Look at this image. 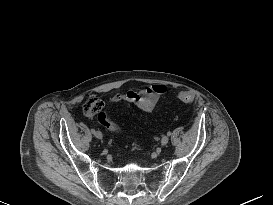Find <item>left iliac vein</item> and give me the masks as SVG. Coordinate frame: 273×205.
I'll list each match as a JSON object with an SVG mask.
<instances>
[{
  "label": "left iliac vein",
  "mask_w": 273,
  "mask_h": 205,
  "mask_svg": "<svg viewBox=\"0 0 273 205\" xmlns=\"http://www.w3.org/2000/svg\"><path fill=\"white\" fill-rule=\"evenodd\" d=\"M169 142V137L168 136H163L162 139H161V145L162 146H165L167 145V143Z\"/></svg>",
  "instance_id": "4c4485c4"
}]
</instances>
